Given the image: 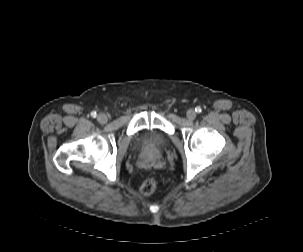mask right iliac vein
<instances>
[{
	"label": "right iliac vein",
	"instance_id": "right-iliac-vein-1",
	"mask_svg": "<svg viewBox=\"0 0 303 252\" xmlns=\"http://www.w3.org/2000/svg\"><path fill=\"white\" fill-rule=\"evenodd\" d=\"M97 121H98L99 123H101V124H105V123H107V121H108V117H107L106 114L100 113V114H98V116H97Z\"/></svg>",
	"mask_w": 303,
	"mask_h": 252
}]
</instances>
